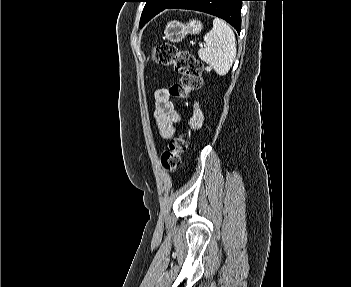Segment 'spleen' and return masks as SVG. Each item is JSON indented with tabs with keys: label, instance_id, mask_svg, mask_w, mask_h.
Masks as SVG:
<instances>
[{
	"label": "spleen",
	"instance_id": "obj_1",
	"mask_svg": "<svg viewBox=\"0 0 351 287\" xmlns=\"http://www.w3.org/2000/svg\"><path fill=\"white\" fill-rule=\"evenodd\" d=\"M207 46L198 51L199 58L218 75H226L236 57V39L231 27L222 19L213 20V28L204 36Z\"/></svg>",
	"mask_w": 351,
	"mask_h": 287
}]
</instances>
